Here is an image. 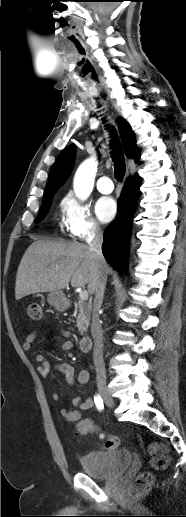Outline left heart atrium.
<instances>
[{
	"label": "left heart atrium",
	"instance_id": "39dd6f15",
	"mask_svg": "<svg viewBox=\"0 0 186 517\" xmlns=\"http://www.w3.org/2000/svg\"><path fill=\"white\" fill-rule=\"evenodd\" d=\"M95 212L101 222L107 223L117 213L116 202L110 197H102L96 202Z\"/></svg>",
	"mask_w": 186,
	"mask_h": 517
}]
</instances>
